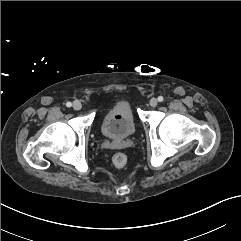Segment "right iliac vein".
I'll list each match as a JSON object with an SVG mask.
<instances>
[{
    "label": "right iliac vein",
    "instance_id": "obj_1",
    "mask_svg": "<svg viewBox=\"0 0 241 241\" xmlns=\"http://www.w3.org/2000/svg\"><path fill=\"white\" fill-rule=\"evenodd\" d=\"M81 108H82V104L79 101L73 102V109L74 110L79 111V110H81Z\"/></svg>",
    "mask_w": 241,
    "mask_h": 241
}]
</instances>
